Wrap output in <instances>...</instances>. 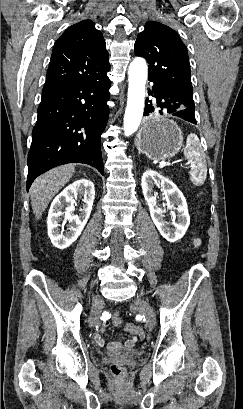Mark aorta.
I'll list each match as a JSON object with an SVG mask.
<instances>
[{
	"mask_svg": "<svg viewBox=\"0 0 243 409\" xmlns=\"http://www.w3.org/2000/svg\"><path fill=\"white\" fill-rule=\"evenodd\" d=\"M147 77L148 67L145 59L134 58L128 68V97L124 115V135L127 137L135 133L141 123Z\"/></svg>",
	"mask_w": 243,
	"mask_h": 409,
	"instance_id": "762f6f07",
	"label": "aorta"
}]
</instances>
